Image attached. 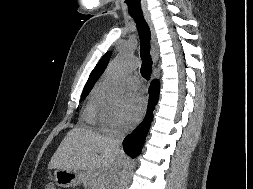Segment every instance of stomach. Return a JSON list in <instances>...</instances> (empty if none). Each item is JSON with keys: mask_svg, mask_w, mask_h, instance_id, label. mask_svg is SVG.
I'll return each instance as SVG.
<instances>
[{"mask_svg": "<svg viewBox=\"0 0 253 189\" xmlns=\"http://www.w3.org/2000/svg\"><path fill=\"white\" fill-rule=\"evenodd\" d=\"M84 173L81 171L57 168L54 172V179L62 188L74 187L84 180Z\"/></svg>", "mask_w": 253, "mask_h": 189, "instance_id": "obj_1", "label": "stomach"}]
</instances>
